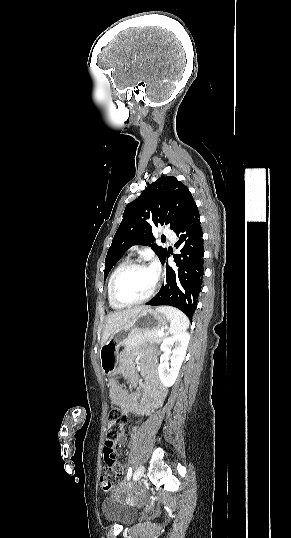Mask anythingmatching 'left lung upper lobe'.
<instances>
[{
  "mask_svg": "<svg viewBox=\"0 0 291 538\" xmlns=\"http://www.w3.org/2000/svg\"><path fill=\"white\" fill-rule=\"evenodd\" d=\"M188 188L173 176H161L129 203L105 259L104 278L133 245H149L160 261L167 249L154 243L152 227L169 225L173 231L196 209Z\"/></svg>",
  "mask_w": 291,
  "mask_h": 538,
  "instance_id": "1",
  "label": "left lung upper lobe"
}]
</instances>
